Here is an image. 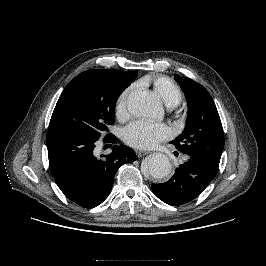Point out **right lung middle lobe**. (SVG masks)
Returning <instances> with one entry per match:
<instances>
[{
    "label": "right lung middle lobe",
    "instance_id": "1",
    "mask_svg": "<svg viewBox=\"0 0 266 266\" xmlns=\"http://www.w3.org/2000/svg\"><path fill=\"white\" fill-rule=\"evenodd\" d=\"M137 77L110 69H96L76 76L63 90L53 111L49 130L62 129L99 139L114 123L120 94Z\"/></svg>",
    "mask_w": 266,
    "mask_h": 266
}]
</instances>
